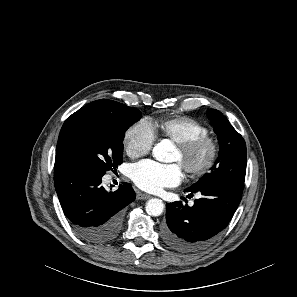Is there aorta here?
Here are the masks:
<instances>
[{
    "instance_id": "1",
    "label": "aorta",
    "mask_w": 297,
    "mask_h": 297,
    "mask_svg": "<svg viewBox=\"0 0 297 297\" xmlns=\"http://www.w3.org/2000/svg\"><path fill=\"white\" fill-rule=\"evenodd\" d=\"M167 151L168 149L165 143L160 142L153 148L152 155L156 160L165 162L168 154ZM164 207L162 200L153 198L146 203L145 209L151 216H160L163 213Z\"/></svg>"
}]
</instances>
